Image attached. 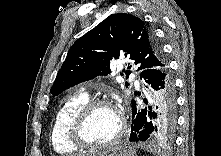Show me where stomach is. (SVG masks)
I'll return each instance as SVG.
<instances>
[{"instance_id": "1", "label": "stomach", "mask_w": 221, "mask_h": 156, "mask_svg": "<svg viewBox=\"0 0 221 156\" xmlns=\"http://www.w3.org/2000/svg\"><path fill=\"white\" fill-rule=\"evenodd\" d=\"M97 156V155H90ZM101 156H135V150L127 145H118L104 151Z\"/></svg>"}]
</instances>
